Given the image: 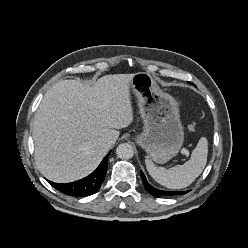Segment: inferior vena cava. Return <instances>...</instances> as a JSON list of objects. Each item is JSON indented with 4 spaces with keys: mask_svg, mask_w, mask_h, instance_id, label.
<instances>
[{
    "mask_svg": "<svg viewBox=\"0 0 248 248\" xmlns=\"http://www.w3.org/2000/svg\"><path fill=\"white\" fill-rule=\"evenodd\" d=\"M113 144H114V141H113L112 139H105V140L103 141V145H104L105 147H111Z\"/></svg>",
    "mask_w": 248,
    "mask_h": 248,
    "instance_id": "1",
    "label": "inferior vena cava"
}]
</instances>
